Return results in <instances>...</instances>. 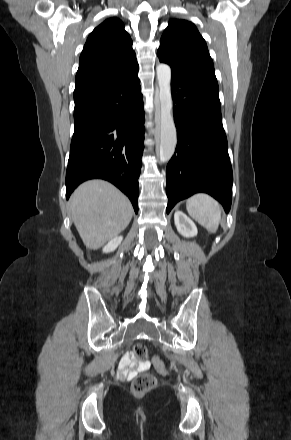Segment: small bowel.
<instances>
[{
	"label": "small bowel",
	"instance_id": "1",
	"mask_svg": "<svg viewBox=\"0 0 291 440\" xmlns=\"http://www.w3.org/2000/svg\"><path fill=\"white\" fill-rule=\"evenodd\" d=\"M151 367L149 361H140L128 352L120 360L119 375L124 378L133 377L134 375L144 372Z\"/></svg>",
	"mask_w": 291,
	"mask_h": 440
}]
</instances>
